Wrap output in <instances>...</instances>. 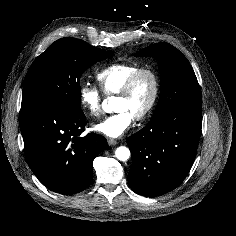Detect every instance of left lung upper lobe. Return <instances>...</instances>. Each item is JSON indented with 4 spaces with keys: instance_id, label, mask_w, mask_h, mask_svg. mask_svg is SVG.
Segmentation results:
<instances>
[{
    "instance_id": "left-lung-upper-lobe-1",
    "label": "left lung upper lobe",
    "mask_w": 236,
    "mask_h": 236,
    "mask_svg": "<svg viewBox=\"0 0 236 236\" xmlns=\"http://www.w3.org/2000/svg\"><path fill=\"white\" fill-rule=\"evenodd\" d=\"M135 56H151L158 60L160 98L150 121L178 107L202 106L201 90L186 57L174 46L157 43L137 52Z\"/></svg>"
}]
</instances>
